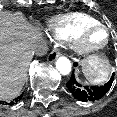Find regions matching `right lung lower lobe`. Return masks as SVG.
Returning <instances> with one entry per match:
<instances>
[{
    "instance_id": "98d812e1",
    "label": "right lung lower lobe",
    "mask_w": 117,
    "mask_h": 117,
    "mask_svg": "<svg viewBox=\"0 0 117 117\" xmlns=\"http://www.w3.org/2000/svg\"><path fill=\"white\" fill-rule=\"evenodd\" d=\"M23 95H20L19 97H17L16 99H14L12 102H10L9 104L12 105V104H15L17 103L18 101H20L22 99Z\"/></svg>"
}]
</instances>
